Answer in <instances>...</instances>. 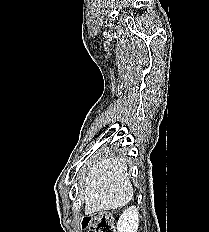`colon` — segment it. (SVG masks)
<instances>
[{"label":"colon","mask_w":209,"mask_h":232,"mask_svg":"<svg viewBox=\"0 0 209 232\" xmlns=\"http://www.w3.org/2000/svg\"><path fill=\"white\" fill-rule=\"evenodd\" d=\"M81 226L88 232H116L112 215L103 211L85 216Z\"/></svg>","instance_id":"colon-1"}]
</instances>
